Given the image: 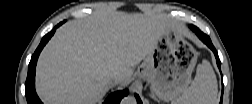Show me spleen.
<instances>
[{
	"label": "spleen",
	"mask_w": 252,
	"mask_h": 104,
	"mask_svg": "<svg viewBox=\"0 0 252 104\" xmlns=\"http://www.w3.org/2000/svg\"><path fill=\"white\" fill-rule=\"evenodd\" d=\"M218 86L215 73L207 60L197 66L196 76L191 85L175 101L177 104H214Z\"/></svg>",
	"instance_id": "obj_1"
}]
</instances>
